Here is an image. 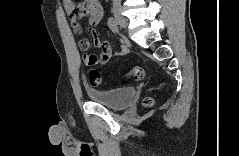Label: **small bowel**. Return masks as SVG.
<instances>
[{"instance_id": "c3829d8e", "label": "small bowel", "mask_w": 239, "mask_h": 156, "mask_svg": "<svg viewBox=\"0 0 239 156\" xmlns=\"http://www.w3.org/2000/svg\"><path fill=\"white\" fill-rule=\"evenodd\" d=\"M63 6L66 12L71 16L72 25L74 31L78 34L81 33V28L78 21L85 17L88 20L90 26H96L100 23L103 17V7L99 0H84L80 4H76L70 0L63 1ZM78 14H81L78 16ZM92 41L95 47L101 49L100 55L94 53H85L84 58L89 66L106 64L112 56H122L128 52L126 45L122 44L120 49L112 51L110 43L107 41H101L98 33L94 30H90ZM80 49L87 52L91 43L88 39L82 38L79 41Z\"/></svg>"}]
</instances>
